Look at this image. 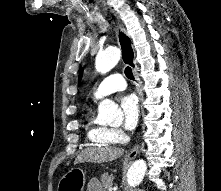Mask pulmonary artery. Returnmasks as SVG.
I'll return each instance as SVG.
<instances>
[{"label":"pulmonary artery","instance_id":"obj_1","mask_svg":"<svg viewBox=\"0 0 221 191\" xmlns=\"http://www.w3.org/2000/svg\"><path fill=\"white\" fill-rule=\"evenodd\" d=\"M126 86V81L122 75H110L96 87L93 93V99L95 101L100 100L113 92L124 90Z\"/></svg>","mask_w":221,"mask_h":191}]
</instances>
